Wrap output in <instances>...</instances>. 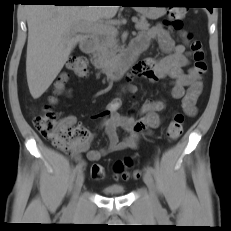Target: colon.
Instances as JSON below:
<instances>
[{
	"mask_svg": "<svg viewBox=\"0 0 231 231\" xmlns=\"http://www.w3.org/2000/svg\"><path fill=\"white\" fill-rule=\"evenodd\" d=\"M185 9L182 7H175L169 10L168 17L165 20V25L173 30L179 31L183 27V18ZM187 38L190 42V49L192 53L194 70L198 76L203 75L207 71L206 54L202 43L195 40L192 34H188ZM67 69L79 78H84L88 73V61L83 56L71 57L67 62ZM64 79H61L56 85L57 93H62L65 88ZM55 100H52L54 103ZM33 124L36 130L46 139L50 140L56 147L60 149H67L75 142L85 138L87 131L81 127L68 126L61 122L51 109L46 106L33 119ZM184 124V115L177 113L170 121L166 136L169 141H176L182 134ZM133 160L130 157L116 161L114 171L118 178L128 179L129 175L126 173V168L132 166ZM91 177L94 180H101L105 176L104 167L101 164H93L91 167Z\"/></svg>",
	"mask_w": 231,
	"mask_h": 231,
	"instance_id": "5ec220e1",
	"label": "colon"
}]
</instances>
